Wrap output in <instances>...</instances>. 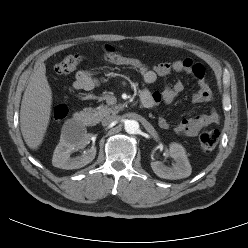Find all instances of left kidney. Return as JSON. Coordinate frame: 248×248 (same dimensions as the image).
Wrapping results in <instances>:
<instances>
[{"mask_svg": "<svg viewBox=\"0 0 248 248\" xmlns=\"http://www.w3.org/2000/svg\"><path fill=\"white\" fill-rule=\"evenodd\" d=\"M170 156L175 160L172 167L164 165L160 161L151 162V168L154 173L164 179H182L191 175L192 168L188 161L185 149L178 143L170 144Z\"/></svg>", "mask_w": 248, "mask_h": 248, "instance_id": "left-kidney-1", "label": "left kidney"}]
</instances>
